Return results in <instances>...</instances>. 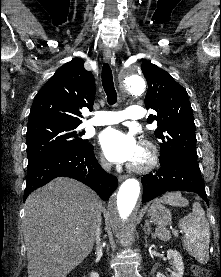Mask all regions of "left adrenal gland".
Instances as JSON below:
<instances>
[{
	"mask_svg": "<svg viewBox=\"0 0 221 277\" xmlns=\"http://www.w3.org/2000/svg\"><path fill=\"white\" fill-rule=\"evenodd\" d=\"M144 232L145 234H151L152 237L154 238V234L151 232L150 224L148 220H146L145 225H144Z\"/></svg>",
	"mask_w": 221,
	"mask_h": 277,
	"instance_id": "1",
	"label": "left adrenal gland"
}]
</instances>
